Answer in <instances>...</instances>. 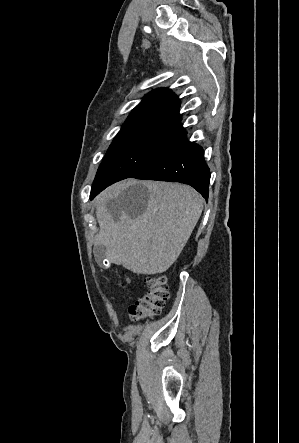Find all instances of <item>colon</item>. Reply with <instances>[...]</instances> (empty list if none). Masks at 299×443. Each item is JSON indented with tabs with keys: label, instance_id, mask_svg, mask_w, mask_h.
Returning a JSON list of instances; mask_svg holds the SVG:
<instances>
[{
	"label": "colon",
	"instance_id": "1",
	"mask_svg": "<svg viewBox=\"0 0 299 443\" xmlns=\"http://www.w3.org/2000/svg\"><path fill=\"white\" fill-rule=\"evenodd\" d=\"M168 297L166 279L161 275H153L146 278V291L137 298L128 309L129 316L134 320H140L158 315Z\"/></svg>",
	"mask_w": 299,
	"mask_h": 443
}]
</instances>
